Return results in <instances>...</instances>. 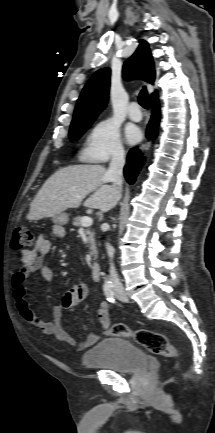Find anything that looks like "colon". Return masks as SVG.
<instances>
[{"label": "colon", "mask_w": 215, "mask_h": 433, "mask_svg": "<svg viewBox=\"0 0 215 433\" xmlns=\"http://www.w3.org/2000/svg\"><path fill=\"white\" fill-rule=\"evenodd\" d=\"M33 243V235L30 228L23 223H18L13 231L12 247L22 249ZM106 334L113 337H129L138 345L146 348L148 351L164 356L169 359H176L178 351L175 345L171 344L166 336L162 333L147 330H133L122 323H115L108 327ZM177 364L173 366L176 370Z\"/></svg>", "instance_id": "5ec220e1"}]
</instances>
